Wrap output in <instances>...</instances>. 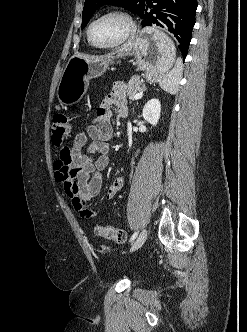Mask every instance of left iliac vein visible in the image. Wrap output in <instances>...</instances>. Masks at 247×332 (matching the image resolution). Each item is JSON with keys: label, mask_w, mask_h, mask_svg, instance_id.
Wrapping results in <instances>:
<instances>
[{"label": "left iliac vein", "mask_w": 247, "mask_h": 332, "mask_svg": "<svg viewBox=\"0 0 247 332\" xmlns=\"http://www.w3.org/2000/svg\"><path fill=\"white\" fill-rule=\"evenodd\" d=\"M147 239V230L144 229L140 234L139 236L137 237V239L133 242L131 248H130V251L133 252L137 249H139L143 244L144 242L146 241Z\"/></svg>", "instance_id": "left-iliac-vein-1"}]
</instances>
